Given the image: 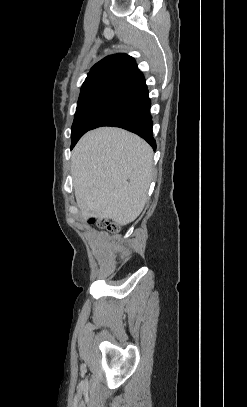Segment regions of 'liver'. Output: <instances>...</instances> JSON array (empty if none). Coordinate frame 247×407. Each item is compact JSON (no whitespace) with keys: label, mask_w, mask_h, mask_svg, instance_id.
I'll list each match as a JSON object with an SVG mask.
<instances>
[{"label":"liver","mask_w":247,"mask_h":407,"mask_svg":"<svg viewBox=\"0 0 247 407\" xmlns=\"http://www.w3.org/2000/svg\"><path fill=\"white\" fill-rule=\"evenodd\" d=\"M153 151L137 135L103 127L87 132L75 146L71 174L85 217L133 222L147 201Z\"/></svg>","instance_id":"obj_1"}]
</instances>
